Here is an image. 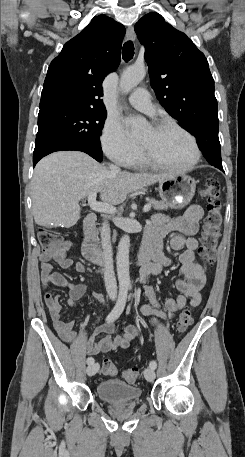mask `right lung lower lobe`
Masks as SVG:
<instances>
[{
    "instance_id": "1",
    "label": "right lung lower lobe",
    "mask_w": 245,
    "mask_h": 457,
    "mask_svg": "<svg viewBox=\"0 0 245 457\" xmlns=\"http://www.w3.org/2000/svg\"><path fill=\"white\" fill-rule=\"evenodd\" d=\"M64 150H76L85 152L81 147L73 145V144H65V143H56V144H49L43 146L41 148L35 149L33 153V166L43 158L44 156L55 152V151H64Z\"/></svg>"
}]
</instances>
